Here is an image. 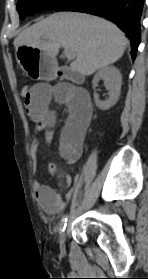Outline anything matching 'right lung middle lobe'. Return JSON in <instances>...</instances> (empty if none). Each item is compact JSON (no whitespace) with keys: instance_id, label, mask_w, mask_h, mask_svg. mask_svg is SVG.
<instances>
[{"instance_id":"dd1d6c3e","label":"right lung middle lobe","mask_w":148,"mask_h":279,"mask_svg":"<svg viewBox=\"0 0 148 279\" xmlns=\"http://www.w3.org/2000/svg\"><path fill=\"white\" fill-rule=\"evenodd\" d=\"M75 1L76 0H18L17 11L20 19H24L26 15H33L46 9H55Z\"/></svg>"}]
</instances>
